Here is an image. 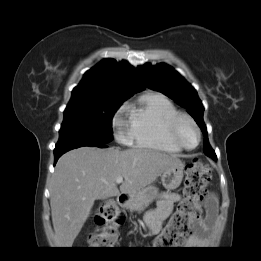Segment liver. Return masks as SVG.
<instances>
[{
    "mask_svg": "<svg viewBox=\"0 0 261 261\" xmlns=\"http://www.w3.org/2000/svg\"><path fill=\"white\" fill-rule=\"evenodd\" d=\"M179 162L175 155L142 148L81 147L64 154L56 164L50 188L57 245H73L96 199L120 192L133 196ZM118 177L124 178L119 189Z\"/></svg>",
    "mask_w": 261,
    "mask_h": 261,
    "instance_id": "obj_1",
    "label": "liver"
}]
</instances>
